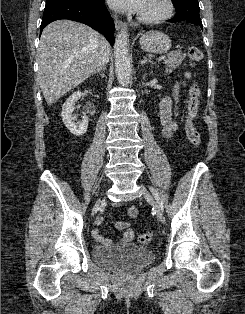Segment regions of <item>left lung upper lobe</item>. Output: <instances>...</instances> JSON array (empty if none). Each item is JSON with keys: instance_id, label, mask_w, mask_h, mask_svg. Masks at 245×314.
Instances as JSON below:
<instances>
[{"instance_id": "1", "label": "left lung upper lobe", "mask_w": 245, "mask_h": 314, "mask_svg": "<svg viewBox=\"0 0 245 314\" xmlns=\"http://www.w3.org/2000/svg\"><path fill=\"white\" fill-rule=\"evenodd\" d=\"M172 3L176 9L175 17L202 24L198 0H172Z\"/></svg>"}]
</instances>
